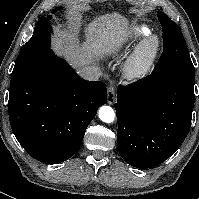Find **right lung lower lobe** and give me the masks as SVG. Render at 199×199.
Listing matches in <instances>:
<instances>
[{"mask_svg":"<svg viewBox=\"0 0 199 199\" xmlns=\"http://www.w3.org/2000/svg\"><path fill=\"white\" fill-rule=\"evenodd\" d=\"M107 102L104 83L85 81L51 49L12 74L8 113L16 139L34 159L63 162Z\"/></svg>","mask_w":199,"mask_h":199,"instance_id":"98d812e1","label":"right lung lower lobe"}]
</instances>
